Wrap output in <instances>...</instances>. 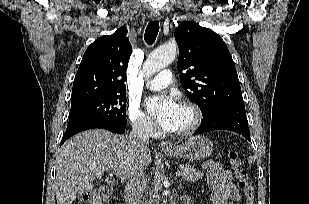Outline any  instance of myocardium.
Listing matches in <instances>:
<instances>
[{
  "label": "myocardium",
  "mask_w": 309,
  "mask_h": 204,
  "mask_svg": "<svg viewBox=\"0 0 309 204\" xmlns=\"http://www.w3.org/2000/svg\"><path fill=\"white\" fill-rule=\"evenodd\" d=\"M181 106L191 112L192 120L188 126L182 129L172 130L171 133L178 136H186L194 133L201 126L203 114L201 109L193 102L185 101Z\"/></svg>",
  "instance_id": "myocardium-1"
}]
</instances>
